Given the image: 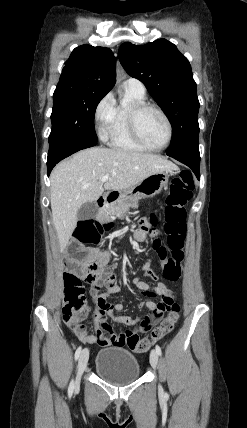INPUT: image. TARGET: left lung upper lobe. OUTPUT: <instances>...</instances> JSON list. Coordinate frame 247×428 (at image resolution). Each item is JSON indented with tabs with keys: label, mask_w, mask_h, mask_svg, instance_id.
Segmentation results:
<instances>
[{
	"label": "left lung upper lobe",
	"mask_w": 247,
	"mask_h": 428,
	"mask_svg": "<svg viewBox=\"0 0 247 428\" xmlns=\"http://www.w3.org/2000/svg\"><path fill=\"white\" fill-rule=\"evenodd\" d=\"M118 57L126 72L146 86L168 116L174 131L171 147L198 143L196 83L188 60L176 46L165 39L140 46L126 42Z\"/></svg>",
	"instance_id": "1"
}]
</instances>
